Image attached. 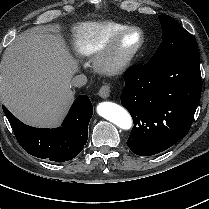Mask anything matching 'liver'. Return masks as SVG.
I'll return each mask as SVG.
<instances>
[{"label":"liver","instance_id":"6515ba94","mask_svg":"<svg viewBox=\"0 0 209 209\" xmlns=\"http://www.w3.org/2000/svg\"><path fill=\"white\" fill-rule=\"evenodd\" d=\"M77 69L60 34L29 29L2 56V102L27 124L57 126L74 99L71 79Z\"/></svg>","mask_w":209,"mask_h":209}]
</instances>
